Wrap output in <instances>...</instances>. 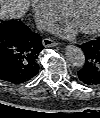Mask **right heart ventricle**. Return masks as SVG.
<instances>
[{
	"label": "right heart ventricle",
	"mask_w": 100,
	"mask_h": 118,
	"mask_svg": "<svg viewBox=\"0 0 100 118\" xmlns=\"http://www.w3.org/2000/svg\"><path fill=\"white\" fill-rule=\"evenodd\" d=\"M56 6L63 12L66 10L77 0H53Z\"/></svg>",
	"instance_id": "right-heart-ventricle-1"
}]
</instances>
